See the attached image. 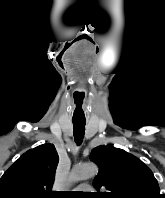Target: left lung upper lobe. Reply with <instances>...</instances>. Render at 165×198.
Wrapping results in <instances>:
<instances>
[{
	"label": "left lung upper lobe",
	"instance_id": "5c2ea615",
	"mask_svg": "<svg viewBox=\"0 0 165 198\" xmlns=\"http://www.w3.org/2000/svg\"><path fill=\"white\" fill-rule=\"evenodd\" d=\"M90 159L99 166L93 185L100 198H163L152 171L126 151L101 145L91 151Z\"/></svg>",
	"mask_w": 165,
	"mask_h": 198
}]
</instances>
